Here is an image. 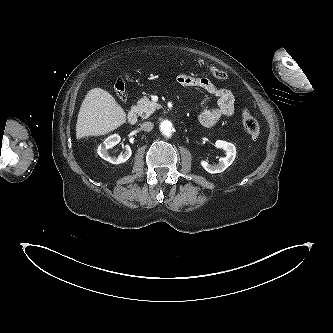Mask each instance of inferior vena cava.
Instances as JSON below:
<instances>
[{"mask_svg": "<svg viewBox=\"0 0 333 333\" xmlns=\"http://www.w3.org/2000/svg\"><path fill=\"white\" fill-rule=\"evenodd\" d=\"M154 127V124L152 122H144L141 125V128L143 131H151Z\"/></svg>", "mask_w": 333, "mask_h": 333, "instance_id": "602c4592", "label": "inferior vena cava"}]
</instances>
